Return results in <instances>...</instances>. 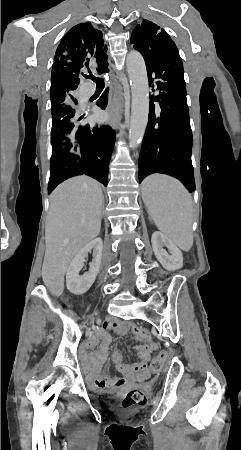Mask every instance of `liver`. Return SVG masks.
<instances>
[{
	"label": "liver",
	"instance_id": "6515ba94",
	"mask_svg": "<svg viewBox=\"0 0 241 450\" xmlns=\"http://www.w3.org/2000/svg\"><path fill=\"white\" fill-rule=\"evenodd\" d=\"M103 200L99 182L88 176L70 178L50 194L42 280L54 296L63 294L64 276L71 260L99 236Z\"/></svg>",
	"mask_w": 241,
	"mask_h": 450
}]
</instances>
